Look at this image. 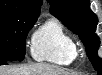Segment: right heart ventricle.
I'll list each match as a JSON object with an SVG mask.
<instances>
[{"label": "right heart ventricle", "instance_id": "e07e8e85", "mask_svg": "<svg viewBox=\"0 0 102 75\" xmlns=\"http://www.w3.org/2000/svg\"><path fill=\"white\" fill-rule=\"evenodd\" d=\"M32 55L38 61L69 65L76 59L77 44L62 24L52 18L34 34Z\"/></svg>", "mask_w": 102, "mask_h": 75}]
</instances>
